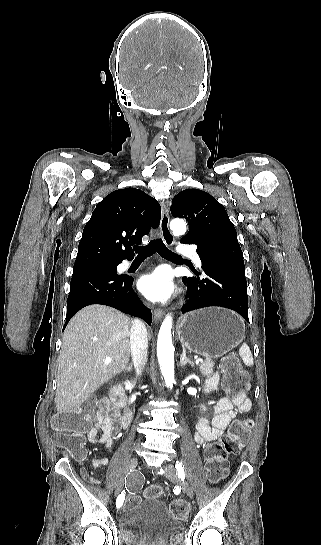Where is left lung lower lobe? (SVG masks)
<instances>
[{
  "instance_id": "1",
  "label": "left lung lower lobe",
  "mask_w": 321,
  "mask_h": 545,
  "mask_svg": "<svg viewBox=\"0 0 321 545\" xmlns=\"http://www.w3.org/2000/svg\"><path fill=\"white\" fill-rule=\"evenodd\" d=\"M196 244L202 261L203 278L183 277L189 300L182 312L220 306L238 312L247 322L248 297L243 254L237 236L213 237Z\"/></svg>"
}]
</instances>
